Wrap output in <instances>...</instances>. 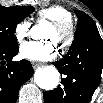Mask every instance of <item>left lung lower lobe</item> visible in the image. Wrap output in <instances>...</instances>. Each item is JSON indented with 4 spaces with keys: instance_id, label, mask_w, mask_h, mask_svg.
Returning <instances> with one entry per match:
<instances>
[{
    "instance_id": "obj_1",
    "label": "left lung lower lobe",
    "mask_w": 103,
    "mask_h": 103,
    "mask_svg": "<svg viewBox=\"0 0 103 103\" xmlns=\"http://www.w3.org/2000/svg\"><path fill=\"white\" fill-rule=\"evenodd\" d=\"M54 65L63 74L62 85L44 93L45 103H89L103 69V40L98 30L75 41Z\"/></svg>"
}]
</instances>
